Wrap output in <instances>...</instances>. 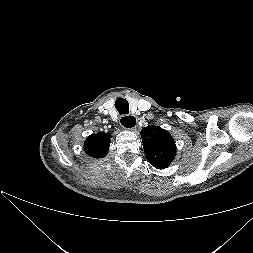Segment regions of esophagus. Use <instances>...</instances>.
Listing matches in <instances>:
<instances>
[{
	"instance_id": "obj_1",
	"label": "esophagus",
	"mask_w": 253,
	"mask_h": 253,
	"mask_svg": "<svg viewBox=\"0 0 253 253\" xmlns=\"http://www.w3.org/2000/svg\"><path fill=\"white\" fill-rule=\"evenodd\" d=\"M120 124L126 130H135L137 126V118L134 115H122Z\"/></svg>"
}]
</instances>
